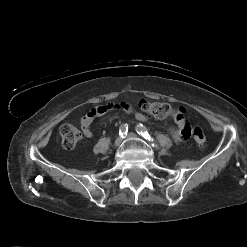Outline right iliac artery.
<instances>
[{
	"label": "right iliac artery",
	"mask_w": 247,
	"mask_h": 247,
	"mask_svg": "<svg viewBox=\"0 0 247 247\" xmlns=\"http://www.w3.org/2000/svg\"><path fill=\"white\" fill-rule=\"evenodd\" d=\"M127 132H128V125L127 124H122L120 127H119V135L124 138L125 135H127Z\"/></svg>",
	"instance_id": "obj_1"
}]
</instances>
